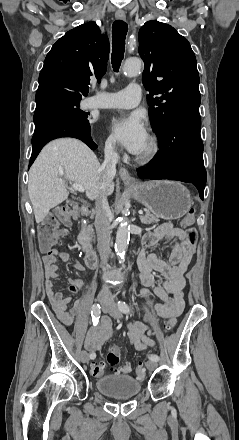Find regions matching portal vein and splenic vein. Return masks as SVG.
Segmentation results:
<instances>
[{"mask_svg": "<svg viewBox=\"0 0 239 440\" xmlns=\"http://www.w3.org/2000/svg\"><path fill=\"white\" fill-rule=\"evenodd\" d=\"M72 188H74V190H78V192H85L83 186H80V184H73ZM139 214H143L142 209H139Z\"/></svg>", "mask_w": 239, "mask_h": 440, "instance_id": "18ae733b", "label": "portal vein and splenic vein"}]
</instances>
